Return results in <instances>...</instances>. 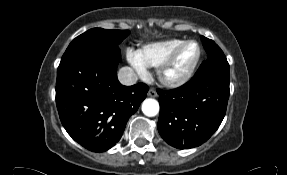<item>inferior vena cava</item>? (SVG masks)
Masks as SVG:
<instances>
[{
  "instance_id": "inferior-vena-cava-1",
  "label": "inferior vena cava",
  "mask_w": 287,
  "mask_h": 175,
  "mask_svg": "<svg viewBox=\"0 0 287 175\" xmlns=\"http://www.w3.org/2000/svg\"><path fill=\"white\" fill-rule=\"evenodd\" d=\"M118 80L121 84L130 86L137 82L138 77L132 68L122 67L118 72Z\"/></svg>"
}]
</instances>
